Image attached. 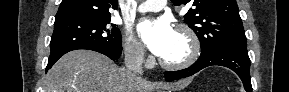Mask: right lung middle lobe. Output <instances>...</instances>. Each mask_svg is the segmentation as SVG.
<instances>
[{"instance_id": "obj_1", "label": "right lung middle lobe", "mask_w": 289, "mask_h": 92, "mask_svg": "<svg viewBox=\"0 0 289 92\" xmlns=\"http://www.w3.org/2000/svg\"><path fill=\"white\" fill-rule=\"evenodd\" d=\"M86 45L121 46V33L110 18L77 17L55 21L50 42L54 57Z\"/></svg>"}]
</instances>
